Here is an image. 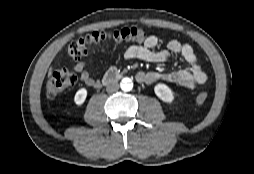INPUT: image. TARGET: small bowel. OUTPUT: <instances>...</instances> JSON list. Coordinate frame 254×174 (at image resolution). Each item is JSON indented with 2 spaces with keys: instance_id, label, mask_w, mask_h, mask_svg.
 Masks as SVG:
<instances>
[{
  "instance_id": "small-bowel-1",
  "label": "small bowel",
  "mask_w": 254,
  "mask_h": 174,
  "mask_svg": "<svg viewBox=\"0 0 254 174\" xmlns=\"http://www.w3.org/2000/svg\"><path fill=\"white\" fill-rule=\"evenodd\" d=\"M157 46V37L148 36L142 44L129 46L124 52V58L127 60L139 59L151 63H160L168 60L171 54H177L182 57L186 67L167 73L141 71L136 74L138 82L151 85L159 80H163L188 89H194L206 83L207 75L189 44L181 43L178 40H171L167 43L166 49H158ZM74 70L80 73L81 81L87 86L93 88L100 86V82L88 71L86 62H77L74 65Z\"/></svg>"
}]
</instances>
